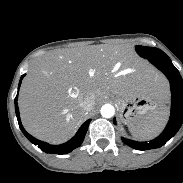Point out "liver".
Segmentation results:
<instances>
[{
    "mask_svg": "<svg viewBox=\"0 0 183 183\" xmlns=\"http://www.w3.org/2000/svg\"><path fill=\"white\" fill-rule=\"evenodd\" d=\"M130 67L138 72L119 73ZM109 93L119 96L149 94L160 105L169 96L167 80L134 57L124 46H86L52 52L35 61L19 94V108L25 129L34 137L52 144L70 139L87 113ZM93 98L86 111L79 101Z\"/></svg>",
    "mask_w": 183,
    "mask_h": 183,
    "instance_id": "obj_1",
    "label": "liver"
}]
</instances>
